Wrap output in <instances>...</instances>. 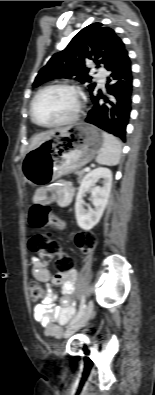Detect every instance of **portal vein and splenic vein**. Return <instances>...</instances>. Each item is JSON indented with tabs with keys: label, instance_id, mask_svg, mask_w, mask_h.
Returning <instances> with one entry per match:
<instances>
[{
	"label": "portal vein and splenic vein",
	"instance_id": "portal-vein-and-splenic-vein-1",
	"mask_svg": "<svg viewBox=\"0 0 155 395\" xmlns=\"http://www.w3.org/2000/svg\"><path fill=\"white\" fill-rule=\"evenodd\" d=\"M90 170V168L89 167H86V168H84V171H89Z\"/></svg>",
	"mask_w": 155,
	"mask_h": 395
}]
</instances>
